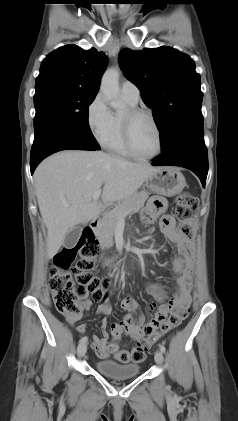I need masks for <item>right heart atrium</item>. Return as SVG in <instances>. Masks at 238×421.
Returning a JSON list of instances; mask_svg holds the SVG:
<instances>
[{
    "instance_id": "d8ad5b80",
    "label": "right heart atrium",
    "mask_w": 238,
    "mask_h": 421,
    "mask_svg": "<svg viewBox=\"0 0 238 421\" xmlns=\"http://www.w3.org/2000/svg\"><path fill=\"white\" fill-rule=\"evenodd\" d=\"M87 122L93 136L101 144L110 136L113 129V113L101 93H98L88 106Z\"/></svg>"
}]
</instances>
